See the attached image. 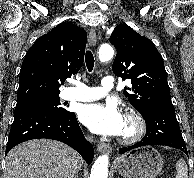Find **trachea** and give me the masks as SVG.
I'll return each mask as SVG.
<instances>
[{"label": "trachea", "mask_w": 194, "mask_h": 178, "mask_svg": "<svg viewBox=\"0 0 194 178\" xmlns=\"http://www.w3.org/2000/svg\"><path fill=\"white\" fill-rule=\"evenodd\" d=\"M85 62H86V66H87L88 71L92 72L94 69L95 60H94V56L90 50L86 51Z\"/></svg>", "instance_id": "obj_1"}]
</instances>
